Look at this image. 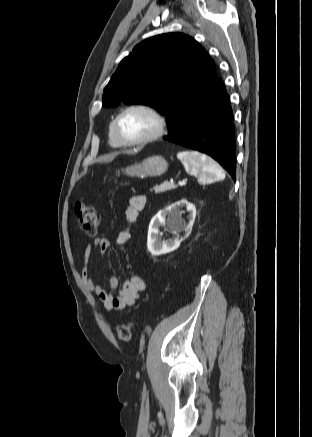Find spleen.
Returning a JSON list of instances; mask_svg holds the SVG:
<instances>
[{"mask_svg":"<svg viewBox=\"0 0 312 437\" xmlns=\"http://www.w3.org/2000/svg\"><path fill=\"white\" fill-rule=\"evenodd\" d=\"M186 172L197 176L201 183H212L225 179L222 168L212 158L197 151H183L177 154Z\"/></svg>","mask_w":312,"mask_h":437,"instance_id":"1","label":"spleen"}]
</instances>
